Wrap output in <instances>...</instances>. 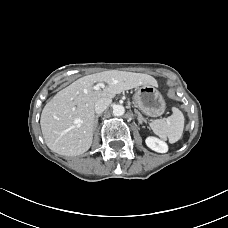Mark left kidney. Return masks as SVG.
Instances as JSON below:
<instances>
[{
    "instance_id": "obj_1",
    "label": "left kidney",
    "mask_w": 228,
    "mask_h": 228,
    "mask_svg": "<svg viewBox=\"0 0 228 228\" xmlns=\"http://www.w3.org/2000/svg\"><path fill=\"white\" fill-rule=\"evenodd\" d=\"M145 142L149 148L158 153H165L168 150L167 145L155 137H148Z\"/></svg>"
}]
</instances>
